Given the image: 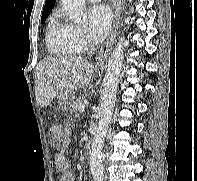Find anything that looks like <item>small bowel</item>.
Returning <instances> with one entry per match:
<instances>
[{"label": "small bowel", "instance_id": "c3829d8e", "mask_svg": "<svg viewBox=\"0 0 197 181\" xmlns=\"http://www.w3.org/2000/svg\"><path fill=\"white\" fill-rule=\"evenodd\" d=\"M55 170L60 174V181H75V174L64 152H58L54 157Z\"/></svg>", "mask_w": 197, "mask_h": 181}]
</instances>
